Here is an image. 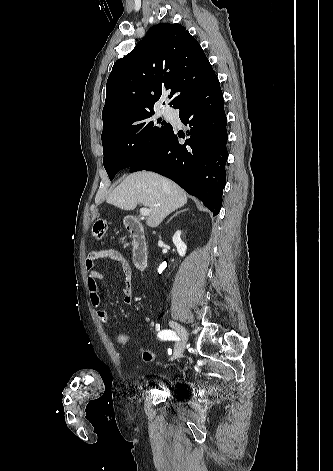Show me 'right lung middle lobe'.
Segmentation results:
<instances>
[{"mask_svg":"<svg viewBox=\"0 0 333 471\" xmlns=\"http://www.w3.org/2000/svg\"><path fill=\"white\" fill-rule=\"evenodd\" d=\"M153 114V109L143 111L102 132L103 163L110 180L143 158L171 129V124L153 118Z\"/></svg>","mask_w":333,"mask_h":471,"instance_id":"dd1d6c3e","label":"right lung middle lobe"}]
</instances>
